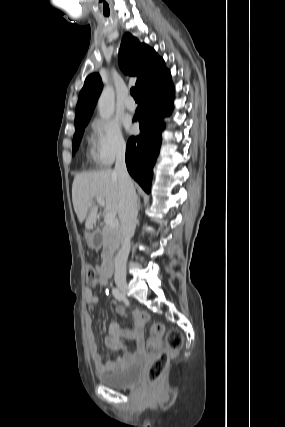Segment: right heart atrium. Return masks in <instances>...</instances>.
Returning a JSON list of instances; mask_svg holds the SVG:
<instances>
[{
    "instance_id": "1",
    "label": "right heart atrium",
    "mask_w": 285,
    "mask_h": 427,
    "mask_svg": "<svg viewBox=\"0 0 285 427\" xmlns=\"http://www.w3.org/2000/svg\"><path fill=\"white\" fill-rule=\"evenodd\" d=\"M91 143L96 160L110 165L127 150V142L119 124L113 120L95 119L91 123Z\"/></svg>"
}]
</instances>
